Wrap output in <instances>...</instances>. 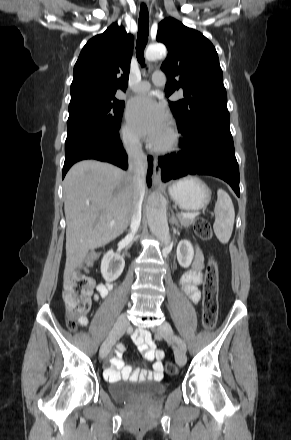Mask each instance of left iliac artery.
I'll list each match as a JSON object with an SVG mask.
<instances>
[{
	"label": "left iliac artery",
	"mask_w": 291,
	"mask_h": 440,
	"mask_svg": "<svg viewBox=\"0 0 291 440\" xmlns=\"http://www.w3.org/2000/svg\"><path fill=\"white\" fill-rule=\"evenodd\" d=\"M176 342L178 343V345L183 349L186 350V345L184 343V341L180 338V337H175Z\"/></svg>",
	"instance_id": "1"
}]
</instances>
